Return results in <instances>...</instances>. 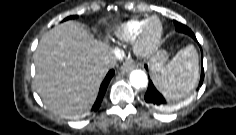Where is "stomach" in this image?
I'll return each mask as SVG.
<instances>
[{"label": "stomach", "instance_id": "obj_1", "mask_svg": "<svg viewBox=\"0 0 236 135\" xmlns=\"http://www.w3.org/2000/svg\"><path fill=\"white\" fill-rule=\"evenodd\" d=\"M167 58H168V55L165 50H158L151 59V67L157 64H164ZM151 75H152V72H151Z\"/></svg>", "mask_w": 236, "mask_h": 135}]
</instances>
